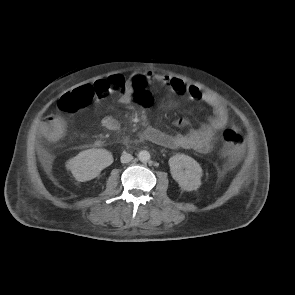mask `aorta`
Returning a JSON list of instances; mask_svg holds the SVG:
<instances>
[{
	"mask_svg": "<svg viewBox=\"0 0 295 295\" xmlns=\"http://www.w3.org/2000/svg\"><path fill=\"white\" fill-rule=\"evenodd\" d=\"M138 159L141 162H147L150 160V153L146 150H142L138 153Z\"/></svg>",
	"mask_w": 295,
	"mask_h": 295,
	"instance_id": "obj_1",
	"label": "aorta"
}]
</instances>
